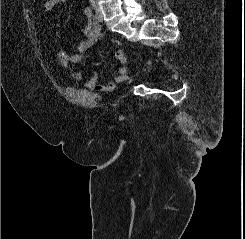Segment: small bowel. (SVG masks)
<instances>
[{
  "mask_svg": "<svg viewBox=\"0 0 245 239\" xmlns=\"http://www.w3.org/2000/svg\"><path fill=\"white\" fill-rule=\"evenodd\" d=\"M65 2L66 0H46L43 3V7L45 8V10L50 11ZM86 16L87 23L82 30V34L85 39L77 45L76 51L72 54H68L63 50H60L57 54L61 67L64 70L70 72L71 77L74 81H81L83 79V72L77 68H74V65L81 62L84 54L96 43H98L102 38L101 27L93 19L91 10L89 8L86 10ZM113 43L115 45L114 57L116 60L121 62V65L117 69L116 76L113 78V80L105 84H99L98 74L94 72L91 78L85 83V87L87 89L109 93L112 92L118 84L123 83L127 80L128 67L126 65L125 53L123 49L119 46V43L117 41H113Z\"/></svg>",
  "mask_w": 245,
  "mask_h": 239,
  "instance_id": "1",
  "label": "small bowel"
}]
</instances>
